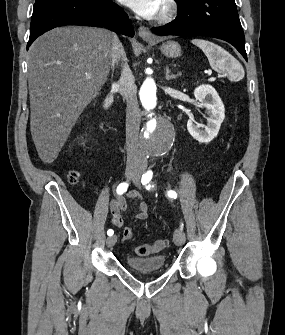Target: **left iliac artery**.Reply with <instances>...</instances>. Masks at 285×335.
Returning a JSON list of instances; mask_svg holds the SVG:
<instances>
[{
  "mask_svg": "<svg viewBox=\"0 0 285 335\" xmlns=\"http://www.w3.org/2000/svg\"><path fill=\"white\" fill-rule=\"evenodd\" d=\"M152 175H153V173H152L151 170L147 171L145 174L142 175L141 182H142L143 185L146 186L147 190H150L151 188L154 187L153 185L152 186L147 185L151 181ZM168 196L171 197V198H174V199L177 198L176 192L172 191V190L168 191ZM182 226H183V224H182Z\"/></svg>",
  "mask_w": 285,
  "mask_h": 335,
  "instance_id": "left-iliac-artery-1",
  "label": "left iliac artery"
}]
</instances>
